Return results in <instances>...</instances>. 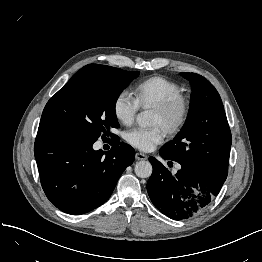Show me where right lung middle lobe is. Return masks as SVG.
Masks as SVG:
<instances>
[{"label":"right lung middle lobe","instance_id":"obj_1","mask_svg":"<svg viewBox=\"0 0 262 262\" xmlns=\"http://www.w3.org/2000/svg\"><path fill=\"white\" fill-rule=\"evenodd\" d=\"M138 72L89 64L46 104L39 127L74 132L89 139L106 138L110 128H118L115 104L120 93Z\"/></svg>","mask_w":262,"mask_h":262}]
</instances>
